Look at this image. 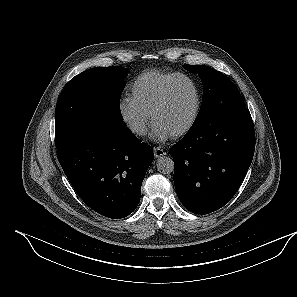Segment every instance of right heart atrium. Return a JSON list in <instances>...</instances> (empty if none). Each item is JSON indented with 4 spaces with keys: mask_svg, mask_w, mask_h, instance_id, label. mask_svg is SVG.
Returning a JSON list of instances; mask_svg holds the SVG:
<instances>
[{
    "mask_svg": "<svg viewBox=\"0 0 297 297\" xmlns=\"http://www.w3.org/2000/svg\"><path fill=\"white\" fill-rule=\"evenodd\" d=\"M118 113L128 131L136 137L146 134L149 117L130 97H124L118 104Z\"/></svg>",
    "mask_w": 297,
    "mask_h": 297,
    "instance_id": "1",
    "label": "right heart atrium"
}]
</instances>
